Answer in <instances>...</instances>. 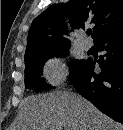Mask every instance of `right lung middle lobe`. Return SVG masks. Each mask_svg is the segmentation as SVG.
Instances as JSON below:
<instances>
[{"mask_svg":"<svg viewBox=\"0 0 123 130\" xmlns=\"http://www.w3.org/2000/svg\"><path fill=\"white\" fill-rule=\"evenodd\" d=\"M69 48L62 50L50 52V53H41L32 55L25 58V88L33 89L36 92H41L44 90H49L52 88L48 85L42 78L43 73V64L47 61L48 58L56 56H67L69 54ZM85 60H71L69 62L70 67V78L73 77L84 65Z\"/></svg>","mask_w":123,"mask_h":130,"instance_id":"right-lung-middle-lobe-1","label":"right lung middle lobe"}]
</instances>
